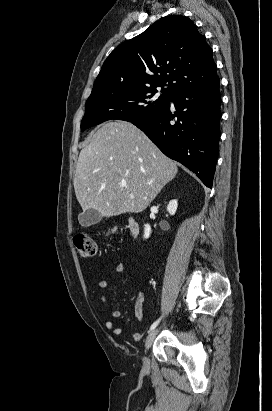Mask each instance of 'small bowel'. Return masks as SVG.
<instances>
[{
    "mask_svg": "<svg viewBox=\"0 0 272 411\" xmlns=\"http://www.w3.org/2000/svg\"><path fill=\"white\" fill-rule=\"evenodd\" d=\"M127 270L126 266L123 264H118L115 267V272L118 274L124 273ZM99 286L101 289L105 290L109 287V282L107 280H101L99 282ZM101 300L103 303H107V297L106 295L101 296ZM134 313L136 318L142 322L144 320V314H143V299L139 298L135 304H134ZM111 317L113 319H121L123 317L122 312L119 310H114L111 312ZM106 328L112 332L114 335H121L122 334V328L119 327L113 320H109L105 324ZM132 339L135 342H138L142 339V334L140 332H134L132 335Z\"/></svg>",
    "mask_w": 272,
    "mask_h": 411,
    "instance_id": "1",
    "label": "small bowel"
}]
</instances>
